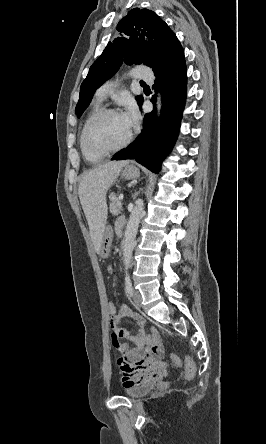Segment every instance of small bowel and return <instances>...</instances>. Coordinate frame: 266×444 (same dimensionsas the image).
I'll return each mask as SVG.
<instances>
[{
  "mask_svg": "<svg viewBox=\"0 0 266 444\" xmlns=\"http://www.w3.org/2000/svg\"><path fill=\"white\" fill-rule=\"evenodd\" d=\"M116 233L122 234V223L116 224ZM110 273L112 267H108ZM124 318L132 319L138 326L139 332L132 334L128 329L119 327ZM113 330L111 342L119 352L118 365L122 374V384L125 388L156 383L167 375V365L162 361L163 345L159 332L153 329L145 331L143 318L132 313L127 306H121L117 314L110 320ZM121 339H126L124 343Z\"/></svg>",
  "mask_w": 266,
  "mask_h": 444,
  "instance_id": "c3829d8e",
  "label": "small bowel"
}]
</instances>
